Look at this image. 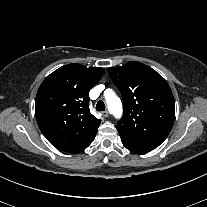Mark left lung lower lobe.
I'll return each instance as SVG.
<instances>
[{
	"label": "left lung lower lobe",
	"instance_id": "0a47b994",
	"mask_svg": "<svg viewBox=\"0 0 207 207\" xmlns=\"http://www.w3.org/2000/svg\"><path fill=\"white\" fill-rule=\"evenodd\" d=\"M123 145L132 152L135 153H146L149 152L157 147L154 144H148L139 142L125 136L120 135Z\"/></svg>",
	"mask_w": 207,
	"mask_h": 207
}]
</instances>
